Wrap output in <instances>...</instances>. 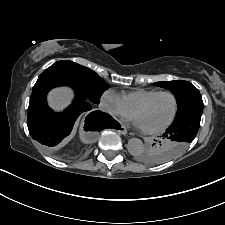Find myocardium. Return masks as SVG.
<instances>
[{
    "mask_svg": "<svg viewBox=\"0 0 225 225\" xmlns=\"http://www.w3.org/2000/svg\"><path fill=\"white\" fill-rule=\"evenodd\" d=\"M164 94L170 95L173 98L174 109H173L172 115L166 123H164L162 126H160L158 128H153V129L142 128L143 132H145L147 134H156V133L163 132L164 130H166L167 128H169L173 124V122H174V120L177 116L178 109H179V101H178V98H177L176 94L173 93L172 91H169V90L158 91L155 94L148 97L147 99H145L143 102H141L133 111L134 116H136L139 111H141L143 108H145L155 98H157L160 95H164Z\"/></svg>",
    "mask_w": 225,
    "mask_h": 225,
    "instance_id": "obj_1",
    "label": "myocardium"
}]
</instances>
